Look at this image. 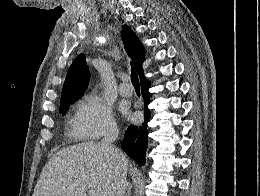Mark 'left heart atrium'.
Masks as SVG:
<instances>
[{"label": "left heart atrium", "instance_id": "39dd6f15", "mask_svg": "<svg viewBox=\"0 0 260 196\" xmlns=\"http://www.w3.org/2000/svg\"><path fill=\"white\" fill-rule=\"evenodd\" d=\"M123 190H106V192H122Z\"/></svg>", "mask_w": 260, "mask_h": 196}]
</instances>
